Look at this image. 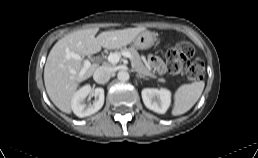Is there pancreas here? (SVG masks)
I'll return each mask as SVG.
<instances>
[{"instance_id": "cf45deb5", "label": "pancreas", "mask_w": 258, "mask_h": 158, "mask_svg": "<svg viewBox=\"0 0 258 158\" xmlns=\"http://www.w3.org/2000/svg\"><path fill=\"white\" fill-rule=\"evenodd\" d=\"M123 52H129L131 54V63L134 65V70L137 71L140 75L142 76H150L152 78H157V76L151 72L149 69L145 67L143 64L141 57L137 50L133 47L130 48H121L120 51H116L115 53L118 55H121ZM159 82L164 83L165 79L164 78H158Z\"/></svg>"}]
</instances>
